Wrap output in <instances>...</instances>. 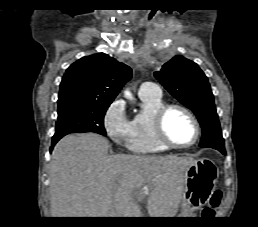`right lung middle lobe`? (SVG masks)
Returning <instances> with one entry per match:
<instances>
[{
  "mask_svg": "<svg viewBox=\"0 0 258 227\" xmlns=\"http://www.w3.org/2000/svg\"><path fill=\"white\" fill-rule=\"evenodd\" d=\"M110 103L84 100L77 97L58 99V121L55 133L95 132L106 136L104 115Z\"/></svg>",
  "mask_w": 258,
  "mask_h": 227,
  "instance_id": "1",
  "label": "right lung middle lobe"
}]
</instances>
